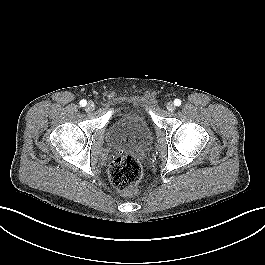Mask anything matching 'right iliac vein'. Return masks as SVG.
<instances>
[{"label": "right iliac vein", "mask_w": 265, "mask_h": 265, "mask_svg": "<svg viewBox=\"0 0 265 265\" xmlns=\"http://www.w3.org/2000/svg\"><path fill=\"white\" fill-rule=\"evenodd\" d=\"M94 108H95L94 103H93L92 101L88 102V104H87V106H86V110H87L88 112H91V111L94 110Z\"/></svg>", "instance_id": "right-iliac-vein-1"}]
</instances>
